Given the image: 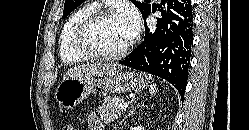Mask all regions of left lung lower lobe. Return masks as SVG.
<instances>
[{
  "label": "left lung lower lobe",
  "instance_id": "obj_1",
  "mask_svg": "<svg viewBox=\"0 0 249 130\" xmlns=\"http://www.w3.org/2000/svg\"><path fill=\"white\" fill-rule=\"evenodd\" d=\"M167 6L155 31L146 26L144 41L119 63L167 80L183 99L193 40L192 5L189 0H168Z\"/></svg>",
  "mask_w": 249,
  "mask_h": 130
}]
</instances>
